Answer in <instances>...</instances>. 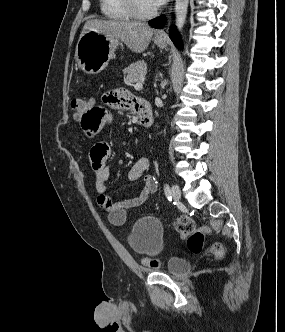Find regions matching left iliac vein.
I'll return each mask as SVG.
<instances>
[{
  "instance_id": "left-iliac-vein-1",
  "label": "left iliac vein",
  "mask_w": 285,
  "mask_h": 332,
  "mask_svg": "<svg viewBox=\"0 0 285 332\" xmlns=\"http://www.w3.org/2000/svg\"><path fill=\"white\" fill-rule=\"evenodd\" d=\"M172 197L175 201H179L181 198V190L179 186L173 185L171 188Z\"/></svg>"
}]
</instances>
